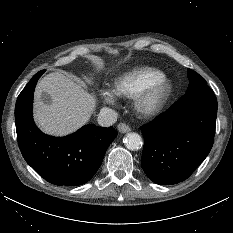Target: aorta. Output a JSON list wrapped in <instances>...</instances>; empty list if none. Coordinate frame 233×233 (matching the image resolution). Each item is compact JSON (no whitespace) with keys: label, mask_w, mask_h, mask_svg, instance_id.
Instances as JSON below:
<instances>
[{"label":"aorta","mask_w":233,"mask_h":233,"mask_svg":"<svg viewBox=\"0 0 233 233\" xmlns=\"http://www.w3.org/2000/svg\"><path fill=\"white\" fill-rule=\"evenodd\" d=\"M124 143L129 150H138L142 146V138L138 133L130 132L125 136Z\"/></svg>","instance_id":"1"}]
</instances>
